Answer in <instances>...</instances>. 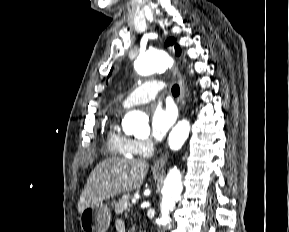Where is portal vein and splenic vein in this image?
Instances as JSON below:
<instances>
[{
  "mask_svg": "<svg viewBox=\"0 0 289 232\" xmlns=\"http://www.w3.org/2000/svg\"><path fill=\"white\" fill-rule=\"evenodd\" d=\"M131 202H132V204H136V199H135V198H132V199H131Z\"/></svg>",
  "mask_w": 289,
  "mask_h": 232,
  "instance_id": "obj_1",
  "label": "portal vein and splenic vein"
}]
</instances>
